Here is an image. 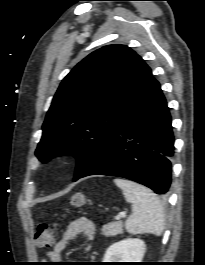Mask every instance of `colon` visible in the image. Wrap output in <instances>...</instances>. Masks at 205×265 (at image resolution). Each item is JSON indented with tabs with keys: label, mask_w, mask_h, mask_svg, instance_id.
Returning <instances> with one entry per match:
<instances>
[{
	"label": "colon",
	"mask_w": 205,
	"mask_h": 265,
	"mask_svg": "<svg viewBox=\"0 0 205 265\" xmlns=\"http://www.w3.org/2000/svg\"><path fill=\"white\" fill-rule=\"evenodd\" d=\"M83 195L76 193L72 196L71 203L75 206L81 205ZM35 243L38 247H50L55 241V229L51 224H40L35 233Z\"/></svg>",
	"instance_id": "colon-1"
}]
</instances>
